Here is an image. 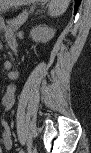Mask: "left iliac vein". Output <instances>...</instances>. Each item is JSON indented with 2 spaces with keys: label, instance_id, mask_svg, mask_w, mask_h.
Listing matches in <instances>:
<instances>
[{
  "label": "left iliac vein",
  "instance_id": "obj_1",
  "mask_svg": "<svg viewBox=\"0 0 91 153\" xmlns=\"http://www.w3.org/2000/svg\"><path fill=\"white\" fill-rule=\"evenodd\" d=\"M30 153H36V148L33 147L32 150L30 151Z\"/></svg>",
  "mask_w": 91,
  "mask_h": 153
}]
</instances>
